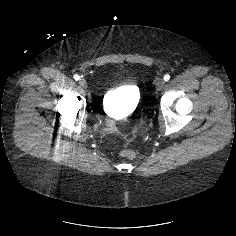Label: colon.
Wrapping results in <instances>:
<instances>
[{"label": "colon", "instance_id": "obj_1", "mask_svg": "<svg viewBox=\"0 0 236 236\" xmlns=\"http://www.w3.org/2000/svg\"><path fill=\"white\" fill-rule=\"evenodd\" d=\"M115 142L117 144H120L121 143V140L120 139H115ZM121 155L123 157H126V158H133L135 156V152L131 149H125L121 152Z\"/></svg>", "mask_w": 236, "mask_h": 236}]
</instances>
